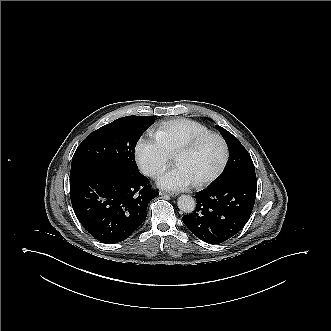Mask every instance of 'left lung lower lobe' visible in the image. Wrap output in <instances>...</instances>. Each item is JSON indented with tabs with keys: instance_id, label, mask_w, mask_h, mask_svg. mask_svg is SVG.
Wrapping results in <instances>:
<instances>
[{
	"instance_id": "1",
	"label": "left lung lower lobe",
	"mask_w": 331,
	"mask_h": 331,
	"mask_svg": "<svg viewBox=\"0 0 331 331\" xmlns=\"http://www.w3.org/2000/svg\"><path fill=\"white\" fill-rule=\"evenodd\" d=\"M257 184L235 180L196 194L193 213L183 216L187 228L209 244L225 242L245 226L253 209Z\"/></svg>"
}]
</instances>
